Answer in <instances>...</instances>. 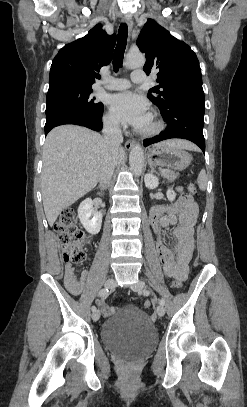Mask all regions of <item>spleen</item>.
Listing matches in <instances>:
<instances>
[{
	"label": "spleen",
	"mask_w": 247,
	"mask_h": 407,
	"mask_svg": "<svg viewBox=\"0 0 247 407\" xmlns=\"http://www.w3.org/2000/svg\"><path fill=\"white\" fill-rule=\"evenodd\" d=\"M198 186L200 188V190L204 191L207 188V176H206V172L204 169H202L198 175Z\"/></svg>",
	"instance_id": "obj_1"
}]
</instances>
